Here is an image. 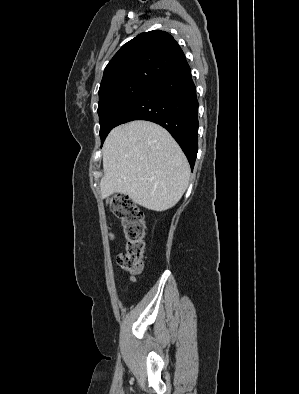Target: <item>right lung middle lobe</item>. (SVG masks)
<instances>
[{"mask_svg":"<svg viewBox=\"0 0 299 394\" xmlns=\"http://www.w3.org/2000/svg\"><path fill=\"white\" fill-rule=\"evenodd\" d=\"M150 85L148 83H126L99 94L98 115L102 144L127 108Z\"/></svg>","mask_w":299,"mask_h":394,"instance_id":"obj_1","label":"right lung middle lobe"}]
</instances>
